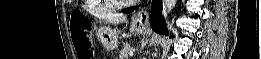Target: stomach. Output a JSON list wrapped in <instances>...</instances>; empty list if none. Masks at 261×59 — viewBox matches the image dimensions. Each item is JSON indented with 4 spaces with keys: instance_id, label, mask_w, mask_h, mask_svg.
Returning a JSON list of instances; mask_svg holds the SVG:
<instances>
[{
    "instance_id": "stomach-1",
    "label": "stomach",
    "mask_w": 261,
    "mask_h": 59,
    "mask_svg": "<svg viewBox=\"0 0 261 59\" xmlns=\"http://www.w3.org/2000/svg\"><path fill=\"white\" fill-rule=\"evenodd\" d=\"M145 30V26L141 23L133 21L130 26V31L135 34H141ZM96 36L98 41L102 44L107 51H113L117 48L118 44V31L109 26L100 27Z\"/></svg>"
}]
</instances>
